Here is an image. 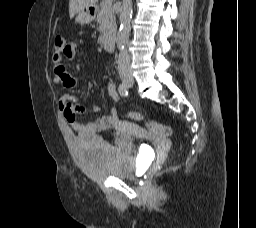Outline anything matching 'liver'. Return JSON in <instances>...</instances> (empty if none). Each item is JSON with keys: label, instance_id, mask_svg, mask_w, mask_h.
<instances>
[{"label": "liver", "instance_id": "obj_1", "mask_svg": "<svg viewBox=\"0 0 256 228\" xmlns=\"http://www.w3.org/2000/svg\"><path fill=\"white\" fill-rule=\"evenodd\" d=\"M98 0H69L70 18L83 8L94 6Z\"/></svg>", "mask_w": 256, "mask_h": 228}]
</instances>
